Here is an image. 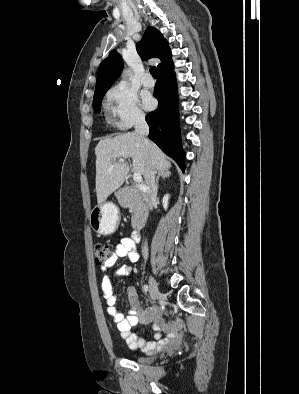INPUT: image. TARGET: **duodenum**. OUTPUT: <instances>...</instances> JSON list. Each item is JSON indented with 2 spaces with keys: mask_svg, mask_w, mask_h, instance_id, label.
Wrapping results in <instances>:
<instances>
[{
  "mask_svg": "<svg viewBox=\"0 0 299 394\" xmlns=\"http://www.w3.org/2000/svg\"><path fill=\"white\" fill-rule=\"evenodd\" d=\"M136 187L143 193H148L149 191L148 187L145 184H141ZM140 237H141V227H138L132 232V239L135 242H138L140 240Z\"/></svg>",
  "mask_w": 299,
  "mask_h": 394,
  "instance_id": "duodenum-1",
  "label": "duodenum"
}]
</instances>
